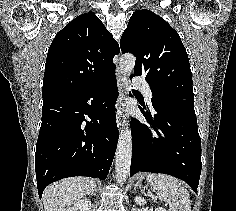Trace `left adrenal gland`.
<instances>
[{
    "mask_svg": "<svg viewBox=\"0 0 236 211\" xmlns=\"http://www.w3.org/2000/svg\"><path fill=\"white\" fill-rule=\"evenodd\" d=\"M138 187H139L140 189H141V187H142L140 181L136 182V184L134 185V190L136 191V189H137ZM141 192H142V190H141Z\"/></svg>",
    "mask_w": 236,
    "mask_h": 211,
    "instance_id": "a2214340",
    "label": "left adrenal gland"
}]
</instances>
